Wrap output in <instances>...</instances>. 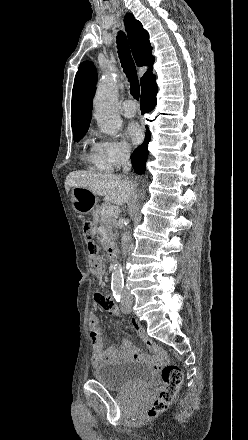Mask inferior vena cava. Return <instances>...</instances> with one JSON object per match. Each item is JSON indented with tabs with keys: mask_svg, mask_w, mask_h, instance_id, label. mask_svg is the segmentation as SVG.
Listing matches in <instances>:
<instances>
[{
	"mask_svg": "<svg viewBox=\"0 0 248 440\" xmlns=\"http://www.w3.org/2000/svg\"><path fill=\"white\" fill-rule=\"evenodd\" d=\"M129 158H130L129 151L125 150L122 154V157H121V163H122L123 171L125 173H127L131 169V163L129 161ZM130 242H131V236H130L129 232H124L123 237H122L123 254L126 253ZM126 295L128 297H130L129 293H127Z\"/></svg>",
	"mask_w": 248,
	"mask_h": 440,
	"instance_id": "obj_1",
	"label": "inferior vena cava"
}]
</instances>
